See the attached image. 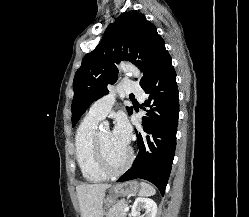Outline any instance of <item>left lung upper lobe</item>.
<instances>
[{
    "instance_id": "5c2ea615",
    "label": "left lung upper lobe",
    "mask_w": 249,
    "mask_h": 217,
    "mask_svg": "<svg viewBox=\"0 0 249 217\" xmlns=\"http://www.w3.org/2000/svg\"><path fill=\"white\" fill-rule=\"evenodd\" d=\"M169 56L165 42L156 27L142 13L121 14L105 31L99 45L85 55L74 81L72 126L98 98L108 93L107 85L117 80L114 63L130 61L142 71L140 85L144 89ZM129 114L132 107H127Z\"/></svg>"
}]
</instances>
